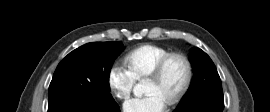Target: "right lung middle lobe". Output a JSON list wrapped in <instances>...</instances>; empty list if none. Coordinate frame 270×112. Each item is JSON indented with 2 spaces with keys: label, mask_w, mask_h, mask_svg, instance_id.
I'll return each mask as SVG.
<instances>
[{
  "label": "right lung middle lobe",
  "mask_w": 270,
  "mask_h": 112,
  "mask_svg": "<svg viewBox=\"0 0 270 112\" xmlns=\"http://www.w3.org/2000/svg\"><path fill=\"white\" fill-rule=\"evenodd\" d=\"M121 48L120 42H93L70 52L54 72L48 104L75 95H84L100 104H113L109 75Z\"/></svg>",
  "instance_id": "1"
}]
</instances>
